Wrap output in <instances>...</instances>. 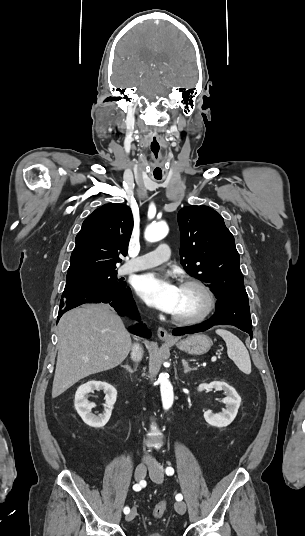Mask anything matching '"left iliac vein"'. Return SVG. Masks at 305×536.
<instances>
[{
	"instance_id": "obj_1",
	"label": "left iliac vein",
	"mask_w": 305,
	"mask_h": 536,
	"mask_svg": "<svg viewBox=\"0 0 305 536\" xmlns=\"http://www.w3.org/2000/svg\"><path fill=\"white\" fill-rule=\"evenodd\" d=\"M150 477L153 481L161 483L164 477V469L161 466H153L149 470ZM175 509L179 514H184L186 512V504L182 501L175 503Z\"/></svg>"
}]
</instances>
